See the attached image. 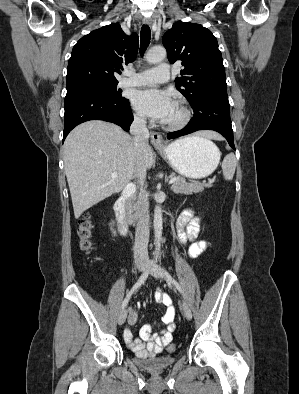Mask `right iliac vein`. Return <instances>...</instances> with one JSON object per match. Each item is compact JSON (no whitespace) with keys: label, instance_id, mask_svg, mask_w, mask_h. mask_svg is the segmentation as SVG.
I'll use <instances>...</instances> for the list:
<instances>
[{"label":"right iliac vein","instance_id":"1","mask_svg":"<svg viewBox=\"0 0 299 394\" xmlns=\"http://www.w3.org/2000/svg\"><path fill=\"white\" fill-rule=\"evenodd\" d=\"M137 268H138L139 272H144L146 270V265L145 264H139L137 266ZM126 318H127V311H126V309H123L121 311L119 317H118V324L119 325L124 324L125 321H126Z\"/></svg>","mask_w":299,"mask_h":394}]
</instances>
